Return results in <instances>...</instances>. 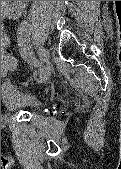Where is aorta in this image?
I'll list each match as a JSON object with an SVG mask.
<instances>
[{
  "label": "aorta",
  "mask_w": 121,
  "mask_h": 169,
  "mask_svg": "<svg viewBox=\"0 0 121 169\" xmlns=\"http://www.w3.org/2000/svg\"><path fill=\"white\" fill-rule=\"evenodd\" d=\"M1 2L3 7H8V8L10 7V9L7 10H10L12 13L13 12L17 13L23 10L28 4V1H1Z\"/></svg>",
  "instance_id": "obj_1"
}]
</instances>
